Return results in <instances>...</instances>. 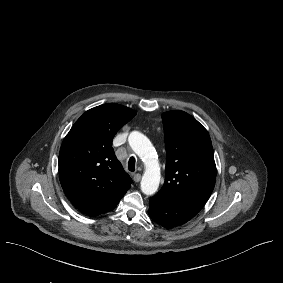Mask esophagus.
I'll use <instances>...</instances> for the list:
<instances>
[{
    "label": "esophagus",
    "mask_w": 283,
    "mask_h": 283,
    "mask_svg": "<svg viewBox=\"0 0 283 283\" xmlns=\"http://www.w3.org/2000/svg\"><path fill=\"white\" fill-rule=\"evenodd\" d=\"M141 178H142V176H141V174H139V173L134 174V176H133V180H134L135 182H139V181L141 180Z\"/></svg>",
    "instance_id": "1"
}]
</instances>
